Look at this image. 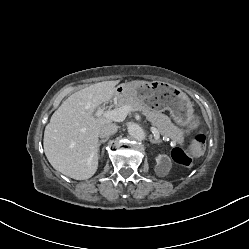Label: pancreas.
<instances>
[{"mask_svg":"<svg viewBox=\"0 0 249 249\" xmlns=\"http://www.w3.org/2000/svg\"><path fill=\"white\" fill-rule=\"evenodd\" d=\"M125 105H129L134 110L140 111L144 116H146L147 120L157 128L161 135L170 138L174 144H183V131L178 126L174 125L168 116L152 110L148 106L130 96L118 98L117 106L122 107Z\"/></svg>","mask_w":249,"mask_h":249,"instance_id":"pancreas-1","label":"pancreas"}]
</instances>
